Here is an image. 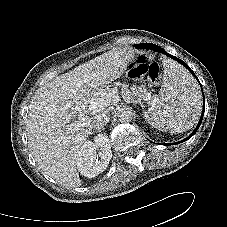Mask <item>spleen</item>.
Masks as SVG:
<instances>
[{
  "label": "spleen",
  "instance_id": "1",
  "mask_svg": "<svg viewBox=\"0 0 227 227\" xmlns=\"http://www.w3.org/2000/svg\"><path fill=\"white\" fill-rule=\"evenodd\" d=\"M163 85L159 97L144 116L154 128L185 132L191 129L201 112V95L192 76L172 60H164Z\"/></svg>",
  "mask_w": 227,
  "mask_h": 227
}]
</instances>
